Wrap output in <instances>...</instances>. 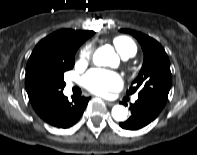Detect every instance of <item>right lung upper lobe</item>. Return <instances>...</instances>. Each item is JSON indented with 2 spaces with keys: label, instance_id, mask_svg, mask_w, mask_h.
<instances>
[{
  "label": "right lung upper lobe",
  "instance_id": "1",
  "mask_svg": "<svg viewBox=\"0 0 197 155\" xmlns=\"http://www.w3.org/2000/svg\"><path fill=\"white\" fill-rule=\"evenodd\" d=\"M94 34L93 31H75L72 29H61L42 39L34 48L27 66L26 76L33 61L38 56H47L57 52H66L78 49L79 46ZM25 76V79H26ZM29 101L35 112L41 116L63 93L43 94L30 89L27 85Z\"/></svg>",
  "mask_w": 197,
  "mask_h": 155
}]
</instances>
